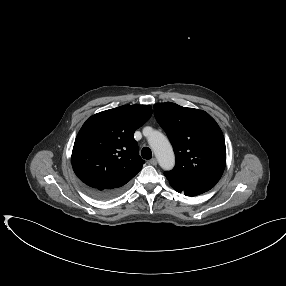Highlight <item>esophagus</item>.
<instances>
[{
    "mask_svg": "<svg viewBox=\"0 0 286 286\" xmlns=\"http://www.w3.org/2000/svg\"><path fill=\"white\" fill-rule=\"evenodd\" d=\"M149 163L153 166H156L157 165V160L155 158H152Z\"/></svg>",
    "mask_w": 286,
    "mask_h": 286,
    "instance_id": "esophagus-1",
    "label": "esophagus"
}]
</instances>
